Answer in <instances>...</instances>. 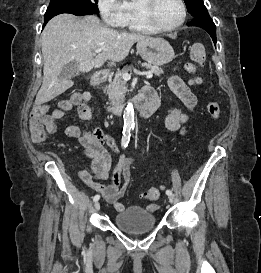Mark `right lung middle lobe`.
<instances>
[{
    "instance_id": "1",
    "label": "right lung middle lobe",
    "mask_w": 261,
    "mask_h": 273,
    "mask_svg": "<svg viewBox=\"0 0 261 273\" xmlns=\"http://www.w3.org/2000/svg\"><path fill=\"white\" fill-rule=\"evenodd\" d=\"M80 3L88 15L98 14V0H51L45 18H52L61 13H74V5Z\"/></svg>"
}]
</instances>
